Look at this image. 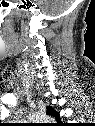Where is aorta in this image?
I'll return each mask as SVG.
<instances>
[{"label": "aorta", "instance_id": "1", "mask_svg": "<svg viewBox=\"0 0 95 126\" xmlns=\"http://www.w3.org/2000/svg\"><path fill=\"white\" fill-rule=\"evenodd\" d=\"M32 121H35L37 123H43V122H50L52 119L47 116V115H42V114H34L30 117Z\"/></svg>", "mask_w": 95, "mask_h": 126}]
</instances>
